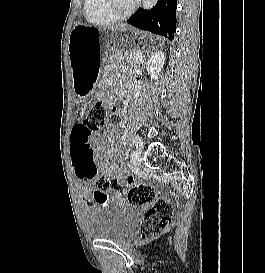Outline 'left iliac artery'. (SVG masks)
I'll list each match as a JSON object with an SVG mask.
<instances>
[{"instance_id":"obj_1","label":"left iliac artery","mask_w":265,"mask_h":273,"mask_svg":"<svg viewBox=\"0 0 265 273\" xmlns=\"http://www.w3.org/2000/svg\"><path fill=\"white\" fill-rule=\"evenodd\" d=\"M133 142H134L136 148H138L140 146V142H139V140L137 138L134 137Z\"/></svg>"}]
</instances>
